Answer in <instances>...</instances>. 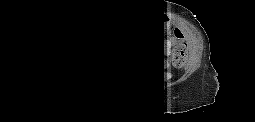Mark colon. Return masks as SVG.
Segmentation results:
<instances>
[{"mask_svg":"<svg viewBox=\"0 0 255 122\" xmlns=\"http://www.w3.org/2000/svg\"><path fill=\"white\" fill-rule=\"evenodd\" d=\"M127 14L130 17H138L134 10H128ZM171 43H170V58L177 65H181L185 57V46L182 42L180 32L176 28H172L171 31Z\"/></svg>","mask_w":255,"mask_h":122,"instance_id":"5ec220e1","label":"colon"}]
</instances>
